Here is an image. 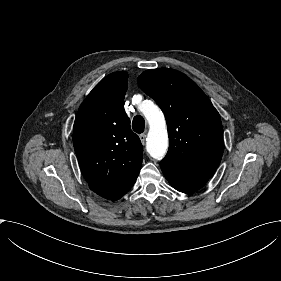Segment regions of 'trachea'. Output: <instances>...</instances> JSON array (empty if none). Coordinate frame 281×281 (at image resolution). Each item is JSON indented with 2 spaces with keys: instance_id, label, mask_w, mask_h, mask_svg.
Here are the masks:
<instances>
[{
  "instance_id": "obj_1",
  "label": "trachea",
  "mask_w": 281,
  "mask_h": 281,
  "mask_svg": "<svg viewBox=\"0 0 281 281\" xmlns=\"http://www.w3.org/2000/svg\"><path fill=\"white\" fill-rule=\"evenodd\" d=\"M132 127H133V130L136 132V133H143L144 132V129H145V120L142 116H135L133 118V122H132Z\"/></svg>"
}]
</instances>
